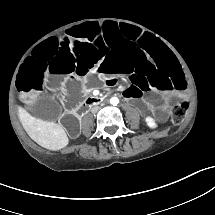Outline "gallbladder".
Segmentation results:
<instances>
[{"label":"gallbladder","mask_w":215,"mask_h":215,"mask_svg":"<svg viewBox=\"0 0 215 215\" xmlns=\"http://www.w3.org/2000/svg\"><path fill=\"white\" fill-rule=\"evenodd\" d=\"M60 106L52 97H44L38 100L34 106V113L40 119L52 122L57 119Z\"/></svg>","instance_id":"bac80fb5"}]
</instances>
